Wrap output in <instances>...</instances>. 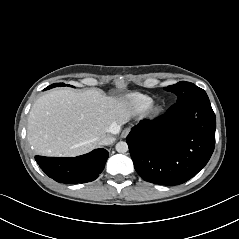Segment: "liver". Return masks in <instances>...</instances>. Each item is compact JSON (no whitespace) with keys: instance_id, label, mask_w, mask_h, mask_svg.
Masks as SVG:
<instances>
[{"instance_id":"liver-1","label":"liver","mask_w":239,"mask_h":239,"mask_svg":"<svg viewBox=\"0 0 239 239\" xmlns=\"http://www.w3.org/2000/svg\"><path fill=\"white\" fill-rule=\"evenodd\" d=\"M133 112L123 98L100 89H56L33 104L27 138L37 153L74 157L100 146L99 138L116 134Z\"/></svg>"}]
</instances>
